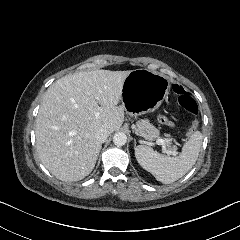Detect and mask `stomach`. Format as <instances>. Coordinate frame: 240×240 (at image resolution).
Masks as SVG:
<instances>
[{"label":"stomach","instance_id":"1","mask_svg":"<svg viewBox=\"0 0 240 240\" xmlns=\"http://www.w3.org/2000/svg\"><path fill=\"white\" fill-rule=\"evenodd\" d=\"M170 90L167 76L146 69H135L126 77L121 103L126 113L138 116L158 109Z\"/></svg>","mask_w":240,"mask_h":240}]
</instances>
